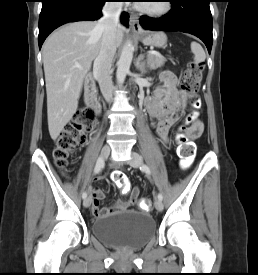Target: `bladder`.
<instances>
[{
    "label": "bladder",
    "instance_id": "obj_1",
    "mask_svg": "<svg viewBox=\"0 0 258 275\" xmlns=\"http://www.w3.org/2000/svg\"><path fill=\"white\" fill-rule=\"evenodd\" d=\"M92 232L98 239L120 248H140L155 237L156 222L146 213L126 210L96 218Z\"/></svg>",
    "mask_w": 258,
    "mask_h": 275
}]
</instances>
